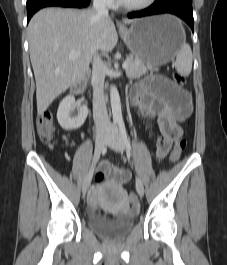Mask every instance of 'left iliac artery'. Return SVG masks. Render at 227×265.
<instances>
[{
	"label": "left iliac artery",
	"mask_w": 227,
	"mask_h": 265,
	"mask_svg": "<svg viewBox=\"0 0 227 265\" xmlns=\"http://www.w3.org/2000/svg\"><path fill=\"white\" fill-rule=\"evenodd\" d=\"M119 129H120V133H121V136L123 138V141L127 147L128 150H131V145H130V141H129V138L127 136V133H126V128H125V124L123 121H120L119 122Z\"/></svg>",
	"instance_id": "obj_1"
}]
</instances>
